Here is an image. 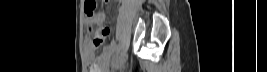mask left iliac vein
<instances>
[{
	"instance_id": "left-iliac-vein-1",
	"label": "left iliac vein",
	"mask_w": 267,
	"mask_h": 72,
	"mask_svg": "<svg viewBox=\"0 0 267 72\" xmlns=\"http://www.w3.org/2000/svg\"><path fill=\"white\" fill-rule=\"evenodd\" d=\"M125 62H126V56H123L120 62V67H122L125 64Z\"/></svg>"
}]
</instances>
